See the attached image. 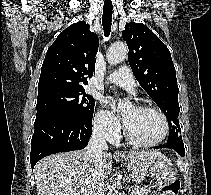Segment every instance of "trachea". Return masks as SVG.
<instances>
[{"instance_id": "obj_1", "label": "trachea", "mask_w": 211, "mask_h": 195, "mask_svg": "<svg viewBox=\"0 0 211 195\" xmlns=\"http://www.w3.org/2000/svg\"><path fill=\"white\" fill-rule=\"evenodd\" d=\"M112 13H113L112 2L111 1L104 2L102 25H103L104 35L106 37H108L110 35V31H111Z\"/></svg>"}]
</instances>
